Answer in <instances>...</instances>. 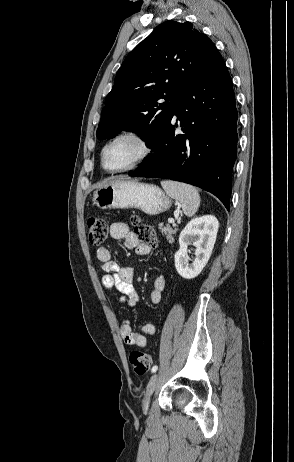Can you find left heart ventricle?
I'll return each mask as SVG.
<instances>
[{
  "label": "left heart ventricle",
  "mask_w": 294,
  "mask_h": 462,
  "mask_svg": "<svg viewBox=\"0 0 294 462\" xmlns=\"http://www.w3.org/2000/svg\"><path fill=\"white\" fill-rule=\"evenodd\" d=\"M140 145L131 138H123L111 146L105 152V166L108 169H118L129 165L140 153Z\"/></svg>",
  "instance_id": "left-heart-ventricle-1"
}]
</instances>
